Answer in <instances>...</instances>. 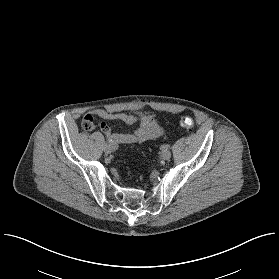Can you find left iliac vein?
Masks as SVG:
<instances>
[{
	"label": "left iliac vein",
	"instance_id": "4c4485c4",
	"mask_svg": "<svg viewBox=\"0 0 279 279\" xmlns=\"http://www.w3.org/2000/svg\"><path fill=\"white\" fill-rule=\"evenodd\" d=\"M171 151L170 150H163V152L161 153V158L163 160H168L171 157Z\"/></svg>",
	"mask_w": 279,
	"mask_h": 279
}]
</instances>
